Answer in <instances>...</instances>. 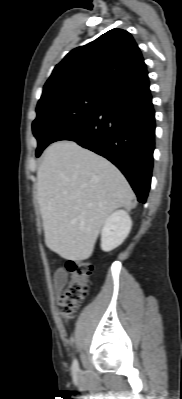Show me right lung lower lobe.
I'll return each instance as SVG.
<instances>
[{
    "instance_id": "obj_1",
    "label": "right lung lower lobe",
    "mask_w": 182,
    "mask_h": 399,
    "mask_svg": "<svg viewBox=\"0 0 182 399\" xmlns=\"http://www.w3.org/2000/svg\"><path fill=\"white\" fill-rule=\"evenodd\" d=\"M149 80L110 92L90 116L58 132L52 142L71 140L111 161L125 175L138 201L150 189L155 118Z\"/></svg>"
}]
</instances>
